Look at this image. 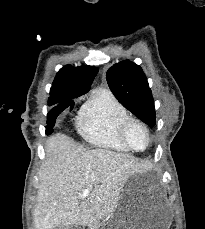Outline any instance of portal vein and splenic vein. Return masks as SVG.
I'll return each instance as SVG.
<instances>
[{
	"mask_svg": "<svg viewBox=\"0 0 205 229\" xmlns=\"http://www.w3.org/2000/svg\"><path fill=\"white\" fill-rule=\"evenodd\" d=\"M89 193H90V188L87 187L84 189V191L81 194H79V197L80 198H86Z\"/></svg>",
	"mask_w": 205,
	"mask_h": 229,
	"instance_id": "18ae733b",
	"label": "portal vein and splenic vein"
}]
</instances>
